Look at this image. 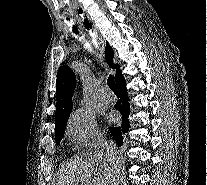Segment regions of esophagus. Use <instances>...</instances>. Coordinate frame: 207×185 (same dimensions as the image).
I'll return each instance as SVG.
<instances>
[{
    "mask_svg": "<svg viewBox=\"0 0 207 185\" xmlns=\"http://www.w3.org/2000/svg\"><path fill=\"white\" fill-rule=\"evenodd\" d=\"M79 13H82V10H79ZM79 19H82V16H79ZM88 33H89V37H90L91 40L95 43V45H96V44H99V40H98V37L96 36L95 31L89 30ZM90 34H92V36H91ZM97 48H98V50H99L100 52H103L104 47H103L102 44L98 45Z\"/></svg>",
    "mask_w": 207,
    "mask_h": 185,
    "instance_id": "esophagus-1",
    "label": "esophagus"
}]
</instances>
